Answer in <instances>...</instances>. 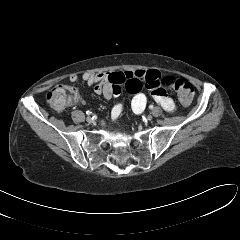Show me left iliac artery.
<instances>
[{"label": "left iliac artery", "instance_id": "obj_1", "mask_svg": "<svg viewBox=\"0 0 240 240\" xmlns=\"http://www.w3.org/2000/svg\"><path fill=\"white\" fill-rule=\"evenodd\" d=\"M149 108H150V109H153V105H150Z\"/></svg>", "mask_w": 240, "mask_h": 240}]
</instances>
